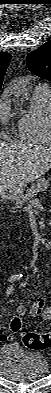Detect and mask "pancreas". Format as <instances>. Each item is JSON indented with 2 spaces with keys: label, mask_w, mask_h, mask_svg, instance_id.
<instances>
[{
  "label": "pancreas",
  "mask_w": 51,
  "mask_h": 393,
  "mask_svg": "<svg viewBox=\"0 0 51 393\" xmlns=\"http://www.w3.org/2000/svg\"><path fill=\"white\" fill-rule=\"evenodd\" d=\"M50 186L49 180L40 178L32 184L31 188L28 189L23 195L16 198L17 205L22 206L32 197L36 196L39 191H45Z\"/></svg>",
  "instance_id": "cf45deb5"
}]
</instances>
